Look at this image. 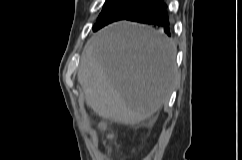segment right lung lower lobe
Listing matches in <instances>:
<instances>
[{
	"mask_svg": "<svg viewBox=\"0 0 242 160\" xmlns=\"http://www.w3.org/2000/svg\"><path fill=\"white\" fill-rule=\"evenodd\" d=\"M124 19L159 26L167 35L171 34L163 0H148L130 12Z\"/></svg>",
	"mask_w": 242,
	"mask_h": 160,
	"instance_id": "right-lung-lower-lobe-1",
	"label": "right lung lower lobe"
}]
</instances>
